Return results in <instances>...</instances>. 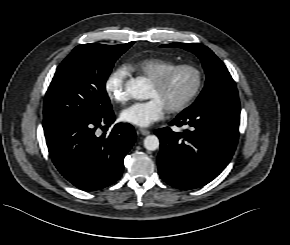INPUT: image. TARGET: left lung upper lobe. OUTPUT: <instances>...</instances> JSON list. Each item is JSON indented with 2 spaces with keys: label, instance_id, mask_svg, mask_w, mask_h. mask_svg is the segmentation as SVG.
<instances>
[{
  "label": "left lung upper lobe",
  "instance_id": "5c2ea615",
  "mask_svg": "<svg viewBox=\"0 0 290 245\" xmlns=\"http://www.w3.org/2000/svg\"><path fill=\"white\" fill-rule=\"evenodd\" d=\"M161 47L183 48L197 55L206 73L205 86L196 101L181 113L191 109L215 106L240 111L236 84L221 60L206 46L199 43H170Z\"/></svg>",
  "mask_w": 290,
  "mask_h": 245
}]
</instances>
